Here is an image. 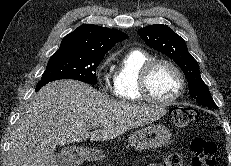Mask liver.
<instances>
[{"label": "liver", "instance_id": "obj_1", "mask_svg": "<svg viewBox=\"0 0 231 166\" xmlns=\"http://www.w3.org/2000/svg\"><path fill=\"white\" fill-rule=\"evenodd\" d=\"M165 114L161 106L111 100L82 82H51L20 115L11 136L9 160L11 166H48L56 146L111 140Z\"/></svg>", "mask_w": 231, "mask_h": 166}]
</instances>
